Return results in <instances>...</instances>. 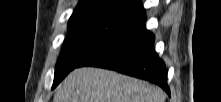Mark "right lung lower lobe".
Returning <instances> with one entry per match:
<instances>
[{
    "mask_svg": "<svg viewBox=\"0 0 221 102\" xmlns=\"http://www.w3.org/2000/svg\"><path fill=\"white\" fill-rule=\"evenodd\" d=\"M145 20V13H142L138 20L98 48L78 67H102L145 79L159 85L170 95L165 63L154 50L155 37L146 29Z\"/></svg>",
    "mask_w": 221,
    "mask_h": 102,
    "instance_id": "obj_1",
    "label": "right lung lower lobe"
}]
</instances>
